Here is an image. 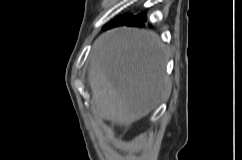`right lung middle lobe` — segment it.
I'll use <instances>...</instances> for the list:
<instances>
[{
    "mask_svg": "<svg viewBox=\"0 0 242 160\" xmlns=\"http://www.w3.org/2000/svg\"><path fill=\"white\" fill-rule=\"evenodd\" d=\"M127 17H129V16L124 15V16H122V17H118V18L112 20L110 23L106 24L102 29L104 30V29H106V28H108V27H112L113 25H115V24H117V23L123 21V20L126 19Z\"/></svg>",
    "mask_w": 242,
    "mask_h": 160,
    "instance_id": "dd1d6c3e",
    "label": "right lung middle lobe"
}]
</instances>
